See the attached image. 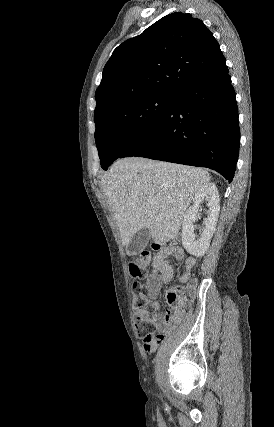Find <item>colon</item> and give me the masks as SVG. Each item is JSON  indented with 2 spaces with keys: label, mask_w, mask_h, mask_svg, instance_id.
Instances as JSON below:
<instances>
[{
  "label": "colon",
  "mask_w": 274,
  "mask_h": 427,
  "mask_svg": "<svg viewBox=\"0 0 274 427\" xmlns=\"http://www.w3.org/2000/svg\"><path fill=\"white\" fill-rule=\"evenodd\" d=\"M130 263H134V276H147L149 273V261L142 258L133 257ZM135 287V286H134ZM179 286L169 285L165 289V299L168 303H174L178 297ZM135 312L133 315L134 325L139 337L151 338L152 353V333L156 332V321L152 315L151 306L142 298L135 297Z\"/></svg>",
  "instance_id": "colon-1"
}]
</instances>
